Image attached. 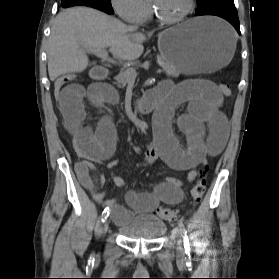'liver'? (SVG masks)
Masks as SVG:
<instances>
[{
  "label": "liver",
  "mask_w": 279,
  "mask_h": 279,
  "mask_svg": "<svg viewBox=\"0 0 279 279\" xmlns=\"http://www.w3.org/2000/svg\"><path fill=\"white\" fill-rule=\"evenodd\" d=\"M143 33L120 20L88 7L60 12L51 26L48 73L51 81L67 73H80L89 63L87 48H106L125 61L138 59L144 51Z\"/></svg>",
  "instance_id": "6515ba94"
}]
</instances>
